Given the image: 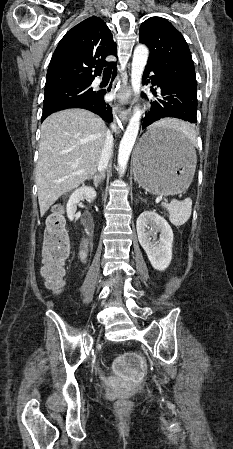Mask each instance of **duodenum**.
<instances>
[{
	"label": "duodenum",
	"instance_id": "410a0bca",
	"mask_svg": "<svg viewBox=\"0 0 233 449\" xmlns=\"http://www.w3.org/2000/svg\"><path fill=\"white\" fill-rule=\"evenodd\" d=\"M88 252H89V245L87 242H85L82 246V251H81V255H82L83 259L87 258Z\"/></svg>",
	"mask_w": 233,
	"mask_h": 449
}]
</instances>
